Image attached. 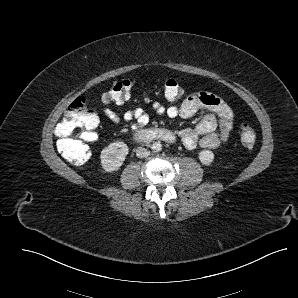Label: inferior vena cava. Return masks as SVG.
<instances>
[{
  "label": "inferior vena cava",
  "mask_w": 298,
  "mask_h": 298,
  "mask_svg": "<svg viewBox=\"0 0 298 298\" xmlns=\"http://www.w3.org/2000/svg\"><path fill=\"white\" fill-rule=\"evenodd\" d=\"M150 155V151L146 149L145 147L139 146L136 149V156L139 158H146Z\"/></svg>",
  "instance_id": "obj_1"
}]
</instances>
